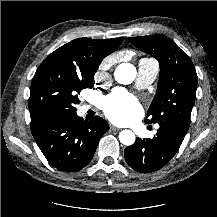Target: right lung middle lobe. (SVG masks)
I'll use <instances>...</instances> for the list:
<instances>
[{"mask_svg":"<svg viewBox=\"0 0 217 217\" xmlns=\"http://www.w3.org/2000/svg\"><path fill=\"white\" fill-rule=\"evenodd\" d=\"M92 72H77L54 62H43L30 88L31 121L59 114H75L78 94L94 86Z\"/></svg>","mask_w":217,"mask_h":217,"instance_id":"1","label":"right lung middle lobe"}]
</instances>
